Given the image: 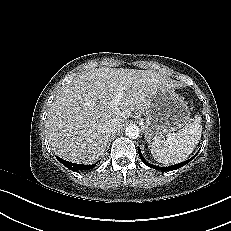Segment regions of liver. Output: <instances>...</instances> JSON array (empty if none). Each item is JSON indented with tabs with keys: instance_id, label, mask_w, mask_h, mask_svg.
<instances>
[{
	"instance_id": "obj_1",
	"label": "liver",
	"mask_w": 231,
	"mask_h": 231,
	"mask_svg": "<svg viewBox=\"0 0 231 231\" xmlns=\"http://www.w3.org/2000/svg\"><path fill=\"white\" fill-rule=\"evenodd\" d=\"M179 87L153 70L101 67L82 73L63 86L51 104L45 121L49 144L67 161L93 163L105 153L107 125L122 127L132 111H145L157 90ZM119 89L121 99L111 106Z\"/></svg>"
}]
</instances>
